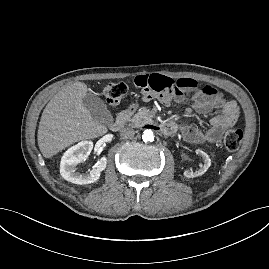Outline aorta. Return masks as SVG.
I'll return each instance as SVG.
<instances>
[{
  "instance_id": "aorta-1",
  "label": "aorta",
  "mask_w": 269,
  "mask_h": 269,
  "mask_svg": "<svg viewBox=\"0 0 269 269\" xmlns=\"http://www.w3.org/2000/svg\"><path fill=\"white\" fill-rule=\"evenodd\" d=\"M142 139L145 142H152L154 141V133L151 129H146L143 132Z\"/></svg>"
}]
</instances>
